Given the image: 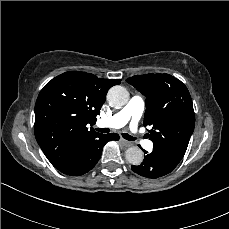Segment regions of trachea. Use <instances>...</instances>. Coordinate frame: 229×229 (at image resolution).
<instances>
[{
    "mask_svg": "<svg viewBox=\"0 0 229 229\" xmlns=\"http://www.w3.org/2000/svg\"><path fill=\"white\" fill-rule=\"evenodd\" d=\"M95 130L98 132H101V133H109L110 132V128H96ZM122 137L126 140H129V141L134 140V138L127 133H122Z\"/></svg>",
    "mask_w": 229,
    "mask_h": 229,
    "instance_id": "3493384b",
    "label": "trachea"
}]
</instances>
